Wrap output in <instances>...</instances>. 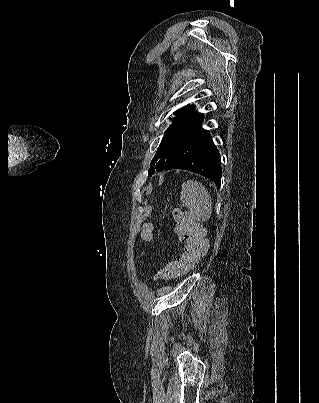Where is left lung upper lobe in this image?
<instances>
[{"mask_svg": "<svg viewBox=\"0 0 319 403\" xmlns=\"http://www.w3.org/2000/svg\"><path fill=\"white\" fill-rule=\"evenodd\" d=\"M185 108L187 110H184ZM175 114L177 117L173 119L172 125L164 133L156 154L151 161L154 167H150L148 176H152L155 170L161 172L165 169L178 147L185 140L190 129L202 116L201 113L195 112L194 107L190 105L177 110Z\"/></svg>", "mask_w": 319, "mask_h": 403, "instance_id": "obj_1", "label": "left lung upper lobe"}]
</instances>
